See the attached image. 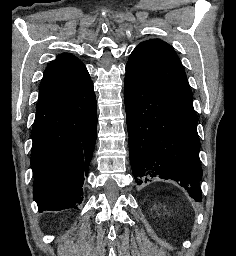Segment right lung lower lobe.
<instances>
[{
    "label": "right lung lower lobe",
    "mask_w": 236,
    "mask_h": 256,
    "mask_svg": "<svg viewBox=\"0 0 236 256\" xmlns=\"http://www.w3.org/2000/svg\"><path fill=\"white\" fill-rule=\"evenodd\" d=\"M96 126L92 81L36 115L31 132V167L34 200L40 212L77 208L82 202Z\"/></svg>",
    "instance_id": "obj_1"
}]
</instances>
